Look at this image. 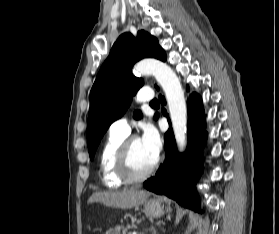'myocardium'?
Here are the masks:
<instances>
[{
    "mask_svg": "<svg viewBox=\"0 0 279 234\" xmlns=\"http://www.w3.org/2000/svg\"><path fill=\"white\" fill-rule=\"evenodd\" d=\"M139 139L137 136L132 135L125 137L120 143L115 160V167L119 177L128 183H136L148 178L156 169L159 163L157 158L154 163L144 172L137 173L133 170L130 163L131 144L134 140Z\"/></svg>",
    "mask_w": 279,
    "mask_h": 234,
    "instance_id": "1",
    "label": "myocardium"
}]
</instances>
